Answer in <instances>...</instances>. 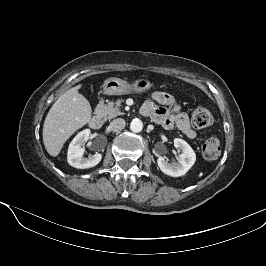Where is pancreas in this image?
<instances>
[{"instance_id":"pancreas-1","label":"pancreas","mask_w":266,"mask_h":266,"mask_svg":"<svg viewBox=\"0 0 266 266\" xmlns=\"http://www.w3.org/2000/svg\"><path fill=\"white\" fill-rule=\"evenodd\" d=\"M122 102V99H119L116 102L109 101L107 104L98 105L97 110L104 118L112 119L116 116L123 114L120 111V106Z\"/></svg>"}]
</instances>
